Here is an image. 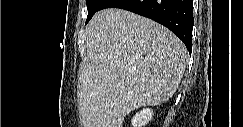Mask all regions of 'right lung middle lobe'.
Masks as SVG:
<instances>
[{
    "label": "right lung middle lobe",
    "instance_id": "dd1d6c3e",
    "mask_svg": "<svg viewBox=\"0 0 243 127\" xmlns=\"http://www.w3.org/2000/svg\"><path fill=\"white\" fill-rule=\"evenodd\" d=\"M105 0H86L87 8H88V16L86 20V24L92 18V16L99 11L100 7L103 5Z\"/></svg>",
    "mask_w": 243,
    "mask_h": 127
}]
</instances>
